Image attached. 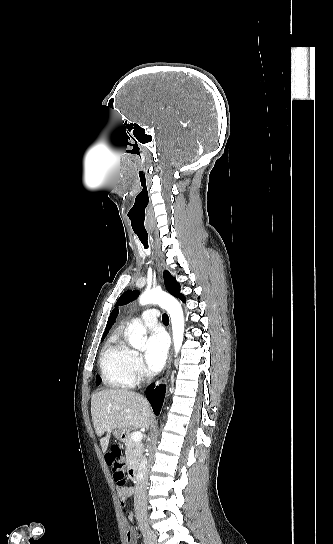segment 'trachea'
Segmentation results:
<instances>
[{
    "label": "trachea",
    "mask_w": 333,
    "mask_h": 544,
    "mask_svg": "<svg viewBox=\"0 0 333 544\" xmlns=\"http://www.w3.org/2000/svg\"><path fill=\"white\" fill-rule=\"evenodd\" d=\"M139 240L141 241V243L143 244L144 248L145 249H148V235L147 234H144V233H136ZM162 321L164 324H168L169 323V317L167 314H163L162 315Z\"/></svg>",
    "instance_id": "1"
}]
</instances>
